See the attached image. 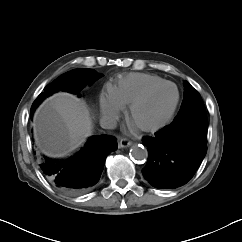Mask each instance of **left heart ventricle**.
<instances>
[{"mask_svg":"<svg viewBox=\"0 0 242 242\" xmlns=\"http://www.w3.org/2000/svg\"><path fill=\"white\" fill-rule=\"evenodd\" d=\"M176 99L173 86H164L156 91L135 111L133 121L138 126H155L161 123L170 112Z\"/></svg>","mask_w":242,"mask_h":242,"instance_id":"obj_1","label":"left heart ventricle"}]
</instances>
